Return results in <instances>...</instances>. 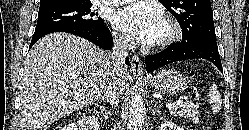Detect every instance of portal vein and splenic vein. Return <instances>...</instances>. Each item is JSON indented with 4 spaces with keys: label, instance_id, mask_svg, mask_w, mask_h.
I'll use <instances>...</instances> for the list:
<instances>
[{
    "label": "portal vein and splenic vein",
    "instance_id": "obj_1",
    "mask_svg": "<svg viewBox=\"0 0 249 130\" xmlns=\"http://www.w3.org/2000/svg\"><path fill=\"white\" fill-rule=\"evenodd\" d=\"M182 105H183V102L181 100H179L177 102L167 104L166 107L168 109H175V108L181 107Z\"/></svg>",
    "mask_w": 249,
    "mask_h": 130
}]
</instances>
